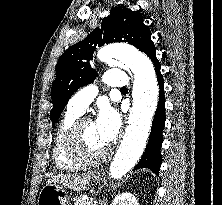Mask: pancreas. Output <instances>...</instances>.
Listing matches in <instances>:
<instances>
[{
	"label": "pancreas",
	"mask_w": 222,
	"mask_h": 205,
	"mask_svg": "<svg viewBox=\"0 0 222 205\" xmlns=\"http://www.w3.org/2000/svg\"><path fill=\"white\" fill-rule=\"evenodd\" d=\"M93 202H94L93 198L84 200V199H82V197H79L76 200L74 205H95V204H93Z\"/></svg>",
	"instance_id": "cf45deb5"
}]
</instances>
